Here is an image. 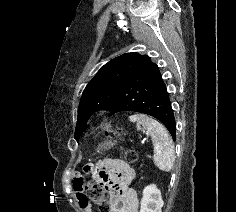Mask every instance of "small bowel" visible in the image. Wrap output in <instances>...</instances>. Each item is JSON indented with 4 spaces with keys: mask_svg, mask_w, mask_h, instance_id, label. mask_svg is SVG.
<instances>
[{
    "mask_svg": "<svg viewBox=\"0 0 236 212\" xmlns=\"http://www.w3.org/2000/svg\"><path fill=\"white\" fill-rule=\"evenodd\" d=\"M101 178L109 186L119 185L120 193L118 197L110 202V212H139L136 192L128 187L134 179L135 173L124 161L112 159L105 162L104 167L100 170ZM74 185L75 193L79 205L83 212H92L91 206L83 192L82 176H77Z\"/></svg>",
    "mask_w": 236,
    "mask_h": 212,
    "instance_id": "small-bowel-1",
    "label": "small bowel"
}]
</instances>
